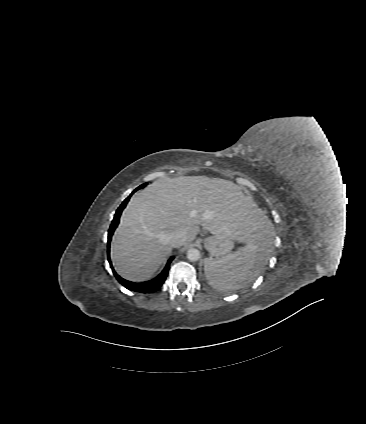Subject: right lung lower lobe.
Instances as JSON below:
<instances>
[{"instance_id": "1", "label": "right lung lower lobe", "mask_w": 366, "mask_h": 424, "mask_svg": "<svg viewBox=\"0 0 366 424\" xmlns=\"http://www.w3.org/2000/svg\"><path fill=\"white\" fill-rule=\"evenodd\" d=\"M138 190V188H136L133 192H132V194L134 193V192H136ZM131 194V195H132ZM130 195V196H131ZM130 196L128 197V198H126L125 200H124V202L120 205V207L117 209V211H116V214H115V216H114V219H113V221H112V223H111V226H110V229H109V232H108V245H107V248H108V261L110 262V255H109V253H110V240H111V237H112V234H113V232H114V230H115V228L117 227V225H118V223H119V218H120V215H121V213H122V210L125 208V206H126V204H127V202H128V200H129V198H130ZM173 258L174 257H171L170 259H169V261H168V263H167V265H166V267L164 268V270L161 272V274L159 275V276H157L155 279H153V280H151V281H148V282H144V283H134V282H130V281H127V280H125V279H123V278H121L115 271H114V269L112 268V271H113V273H114V275H115V277L117 278V280L123 285V286H125L127 289H129V290H132V291H135V292H141V293H150V292H154V291H156L158 288H160L161 287V285L164 283V281H165V279H166V276H167V274H168V270H169V264H170V262L173 260ZM110 266L112 267V264L110 263Z\"/></svg>"}]
</instances>
